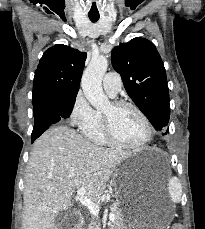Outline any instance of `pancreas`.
I'll return each mask as SVG.
<instances>
[{"mask_svg": "<svg viewBox=\"0 0 205 229\" xmlns=\"http://www.w3.org/2000/svg\"><path fill=\"white\" fill-rule=\"evenodd\" d=\"M111 211L115 215V220L111 222L110 229H123V218L118 202L112 204ZM94 225V222H92L90 228L93 229Z\"/></svg>", "mask_w": 205, "mask_h": 229, "instance_id": "pancreas-1", "label": "pancreas"}]
</instances>
